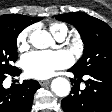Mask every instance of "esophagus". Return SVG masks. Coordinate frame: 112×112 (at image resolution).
Returning a JSON list of instances; mask_svg holds the SVG:
<instances>
[{"mask_svg":"<svg viewBox=\"0 0 112 112\" xmlns=\"http://www.w3.org/2000/svg\"><path fill=\"white\" fill-rule=\"evenodd\" d=\"M41 86H46L50 83V80H44L39 82Z\"/></svg>","mask_w":112,"mask_h":112,"instance_id":"esophagus-1","label":"esophagus"}]
</instances>
